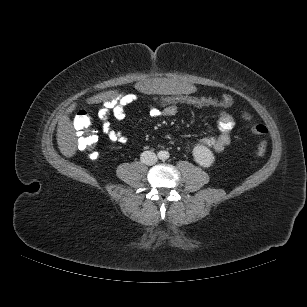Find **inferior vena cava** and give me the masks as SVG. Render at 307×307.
<instances>
[{
  "mask_svg": "<svg viewBox=\"0 0 307 307\" xmlns=\"http://www.w3.org/2000/svg\"><path fill=\"white\" fill-rule=\"evenodd\" d=\"M140 160L146 165H154L157 162V156L152 151H144L141 153Z\"/></svg>",
  "mask_w": 307,
  "mask_h": 307,
  "instance_id": "obj_1",
  "label": "inferior vena cava"
}]
</instances>
